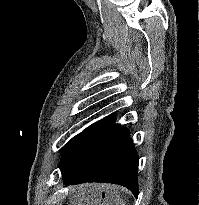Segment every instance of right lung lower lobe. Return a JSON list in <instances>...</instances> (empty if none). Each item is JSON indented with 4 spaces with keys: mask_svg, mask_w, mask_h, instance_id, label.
<instances>
[{
    "mask_svg": "<svg viewBox=\"0 0 199 205\" xmlns=\"http://www.w3.org/2000/svg\"><path fill=\"white\" fill-rule=\"evenodd\" d=\"M139 158L126 127L93 148L62 172L65 186L107 182L128 188L138 197Z\"/></svg>",
    "mask_w": 199,
    "mask_h": 205,
    "instance_id": "98d812e1",
    "label": "right lung lower lobe"
}]
</instances>
